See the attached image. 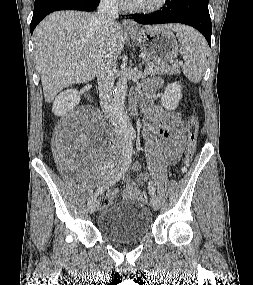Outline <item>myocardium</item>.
<instances>
[{"label":"myocardium","instance_id":"obj_1","mask_svg":"<svg viewBox=\"0 0 253 285\" xmlns=\"http://www.w3.org/2000/svg\"><path fill=\"white\" fill-rule=\"evenodd\" d=\"M167 1L168 0H158L150 5H136L131 2L129 8L135 12L152 13L162 9L167 4Z\"/></svg>","mask_w":253,"mask_h":285}]
</instances>
